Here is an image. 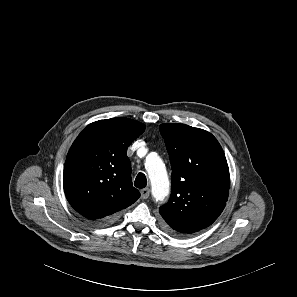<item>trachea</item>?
<instances>
[{
    "instance_id": "obj_1",
    "label": "trachea",
    "mask_w": 297,
    "mask_h": 297,
    "mask_svg": "<svg viewBox=\"0 0 297 297\" xmlns=\"http://www.w3.org/2000/svg\"><path fill=\"white\" fill-rule=\"evenodd\" d=\"M135 187L137 188H144L147 185V179L146 176L143 173H138L135 182H134Z\"/></svg>"
}]
</instances>
